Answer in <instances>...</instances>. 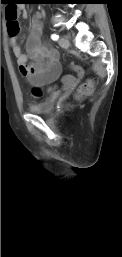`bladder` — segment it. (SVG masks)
Instances as JSON below:
<instances>
[{
	"mask_svg": "<svg viewBox=\"0 0 122 257\" xmlns=\"http://www.w3.org/2000/svg\"><path fill=\"white\" fill-rule=\"evenodd\" d=\"M53 104H54V97H50L41 102L32 104L29 107V110L35 114H47L52 110Z\"/></svg>",
	"mask_w": 122,
	"mask_h": 257,
	"instance_id": "1",
	"label": "bladder"
}]
</instances>
